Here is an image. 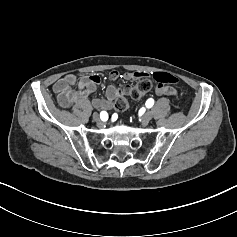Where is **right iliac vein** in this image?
Segmentation results:
<instances>
[{"mask_svg": "<svg viewBox=\"0 0 237 237\" xmlns=\"http://www.w3.org/2000/svg\"><path fill=\"white\" fill-rule=\"evenodd\" d=\"M93 120L98 124L101 125L102 121L99 118V115L97 113L93 114Z\"/></svg>", "mask_w": 237, "mask_h": 237, "instance_id": "right-iliac-vein-1", "label": "right iliac vein"}]
</instances>
